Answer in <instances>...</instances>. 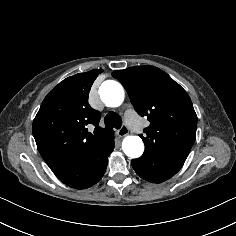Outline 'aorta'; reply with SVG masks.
<instances>
[{
    "label": "aorta",
    "instance_id": "762f6f07",
    "mask_svg": "<svg viewBox=\"0 0 236 236\" xmlns=\"http://www.w3.org/2000/svg\"><path fill=\"white\" fill-rule=\"evenodd\" d=\"M99 94L102 102L108 107L120 106L125 97L120 83L113 80L103 82ZM122 150L128 157L138 158L144 152V143L139 136H127L123 139Z\"/></svg>",
    "mask_w": 236,
    "mask_h": 236
}]
</instances>
